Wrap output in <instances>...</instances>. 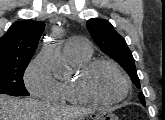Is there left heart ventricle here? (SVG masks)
<instances>
[{
  "label": "left heart ventricle",
  "mask_w": 165,
  "mask_h": 120,
  "mask_svg": "<svg viewBox=\"0 0 165 120\" xmlns=\"http://www.w3.org/2000/svg\"><path fill=\"white\" fill-rule=\"evenodd\" d=\"M90 85L92 91L103 99L117 98L124 91V82L121 75L107 65H102L94 71Z\"/></svg>",
  "instance_id": "b2bd125f"
}]
</instances>
